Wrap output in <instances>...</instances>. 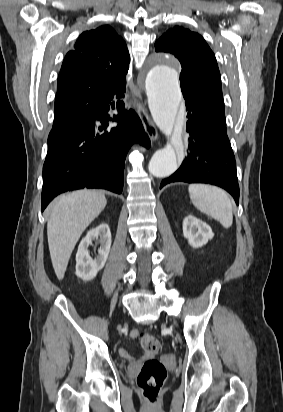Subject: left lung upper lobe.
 <instances>
[{"label": "left lung upper lobe", "mask_w": 283, "mask_h": 412, "mask_svg": "<svg viewBox=\"0 0 283 412\" xmlns=\"http://www.w3.org/2000/svg\"><path fill=\"white\" fill-rule=\"evenodd\" d=\"M155 50L171 53L180 61V86L186 104L197 106L209 117L225 119L220 72L203 37L176 26L156 41Z\"/></svg>", "instance_id": "left-lung-upper-lobe-1"}]
</instances>
